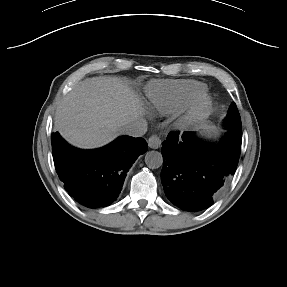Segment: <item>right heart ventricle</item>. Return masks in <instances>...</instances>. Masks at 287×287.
Returning <instances> with one entry per match:
<instances>
[{
  "instance_id": "right-heart-ventricle-1",
  "label": "right heart ventricle",
  "mask_w": 287,
  "mask_h": 287,
  "mask_svg": "<svg viewBox=\"0 0 287 287\" xmlns=\"http://www.w3.org/2000/svg\"><path fill=\"white\" fill-rule=\"evenodd\" d=\"M204 91L205 84L195 80H158L150 82L145 88L149 108L163 115L178 112Z\"/></svg>"
}]
</instances>
